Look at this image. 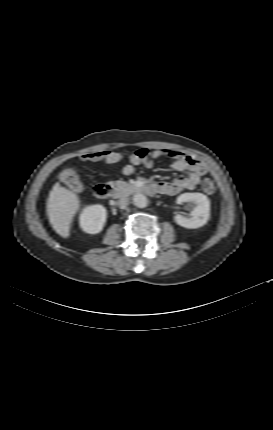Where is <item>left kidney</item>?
Masks as SVG:
<instances>
[{
    "mask_svg": "<svg viewBox=\"0 0 273 430\" xmlns=\"http://www.w3.org/2000/svg\"><path fill=\"white\" fill-rule=\"evenodd\" d=\"M190 202L194 204L190 215L191 217H184L180 214L175 215V222L188 229H196L204 226L210 218V200L202 193H184L177 197L176 203L183 204Z\"/></svg>",
    "mask_w": 273,
    "mask_h": 430,
    "instance_id": "5707ae66",
    "label": "left kidney"
}]
</instances>
